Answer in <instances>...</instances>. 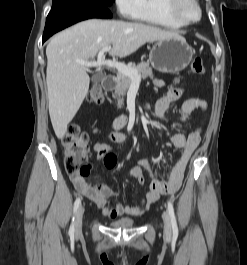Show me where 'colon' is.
<instances>
[{
  "label": "colon",
  "instance_id": "5ec220e1",
  "mask_svg": "<svg viewBox=\"0 0 247 265\" xmlns=\"http://www.w3.org/2000/svg\"><path fill=\"white\" fill-rule=\"evenodd\" d=\"M191 69L199 75L205 73V67L200 57L193 59ZM88 100L93 103H101L103 101L102 89L99 86L92 87L88 94ZM88 139V135L81 131L78 124L73 123L68 127L62 139L64 165L68 174L83 177L89 174L91 168L85 164Z\"/></svg>",
  "mask_w": 247,
  "mask_h": 265
}]
</instances>
